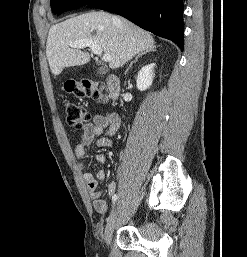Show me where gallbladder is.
I'll return each instance as SVG.
<instances>
[{"instance_id":"bac80fb5","label":"gallbladder","mask_w":247,"mask_h":257,"mask_svg":"<svg viewBox=\"0 0 247 257\" xmlns=\"http://www.w3.org/2000/svg\"><path fill=\"white\" fill-rule=\"evenodd\" d=\"M107 69L106 68H104V67H101V68H99L98 70H97V73L99 74V75H104V74H106L107 73Z\"/></svg>"}]
</instances>
